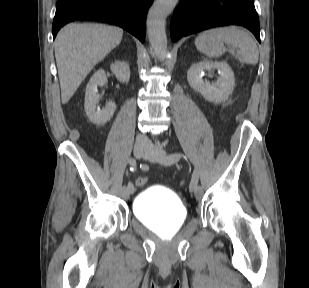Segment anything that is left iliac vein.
I'll return each mask as SVG.
<instances>
[{
    "instance_id": "1",
    "label": "left iliac vein",
    "mask_w": 309,
    "mask_h": 288,
    "mask_svg": "<svg viewBox=\"0 0 309 288\" xmlns=\"http://www.w3.org/2000/svg\"><path fill=\"white\" fill-rule=\"evenodd\" d=\"M148 153L144 156V159L149 160L150 162L156 163H164L166 158V153L160 148H148ZM195 198L200 199L203 195V189L201 186H196L195 190Z\"/></svg>"
}]
</instances>
